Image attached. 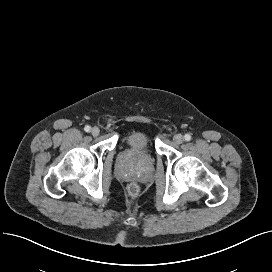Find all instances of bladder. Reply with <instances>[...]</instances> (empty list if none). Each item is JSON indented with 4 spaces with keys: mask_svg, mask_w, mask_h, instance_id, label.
Listing matches in <instances>:
<instances>
[{
    "mask_svg": "<svg viewBox=\"0 0 272 272\" xmlns=\"http://www.w3.org/2000/svg\"><path fill=\"white\" fill-rule=\"evenodd\" d=\"M127 141L132 144L142 146H149L152 144L149 132L142 128L130 131L127 135Z\"/></svg>",
    "mask_w": 272,
    "mask_h": 272,
    "instance_id": "obj_1",
    "label": "bladder"
}]
</instances>
